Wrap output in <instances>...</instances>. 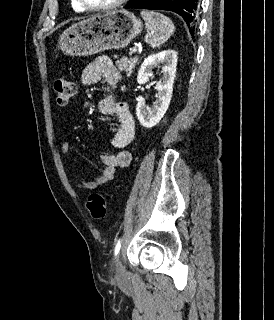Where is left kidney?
Wrapping results in <instances>:
<instances>
[{
	"label": "left kidney",
	"instance_id": "5707ae66",
	"mask_svg": "<svg viewBox=\"0 0 274 320\" xmlns=\"http://www.w3.org/2000/svg\"><path fill=\"white\" fill-rule=\"evenodd\" d=\"M177 60V52L175 50H164V52L148 56L140 66L137 76V84H140V86L149 82L150 76H153L152 70H154L155 66H161L162 64L163 72V78H161L160 82H157L154 88V90H157V94L153 106L149 108L145 100H139L136 106L137 118L144 128H153V126L159 124L168 110L172 98Z\"/></svg>",
	"mask_w": 274,
	"mask_h": 320
}]
</instances>
